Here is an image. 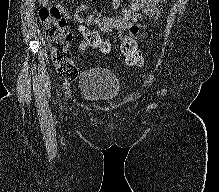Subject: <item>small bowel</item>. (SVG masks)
Returning <instances> with one entry per match:
<instances>
[{
	"label": "small bowel",
	"mask_w": 219,
	"mask_h": 192,
	"mask_svg": "<svg viewBox=\"0 0 219 192\" xmlns=\"http://www.w3.org/2000/svg\"><path fill=\"white\" fill-rule=\"evenodd\" d=\"M165 1L130 0L128 4H123V0H113L111 7L104 13L86 17L79 15V12L85 9L84 6H79L74 13H69L61 3L58 6L63 8L64 13L79 26L83 40L77 51L81 53L86 49L94 50V42L102 40L100 32L127 31L129 35L134 36L136 41L146 37L149 24L143 21V16L149 19L157 18L159 16L158 4ZM119 8L120 12H117ZM91 26L96 28L91 29Z\"/></svg>",
	"instance_id": "1"
}]
</instances>
